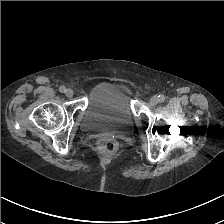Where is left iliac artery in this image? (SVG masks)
<instances>
[{
    "label": "left iliac artery",
    "instance_id": "1",
    "mask_svg": "<svg viewBox=\"0 0 224 224\" xmlns=\"http://www.w3.org/2000/svg\"><path fill=\"white\" fill-rule=\"evenodd\" d=\"M159 101L163 102L165 100V96L163 94L159 95Z\"/></svg>",
    "mask_w": 224,
    "mask_h": 224
}]
</instances>
